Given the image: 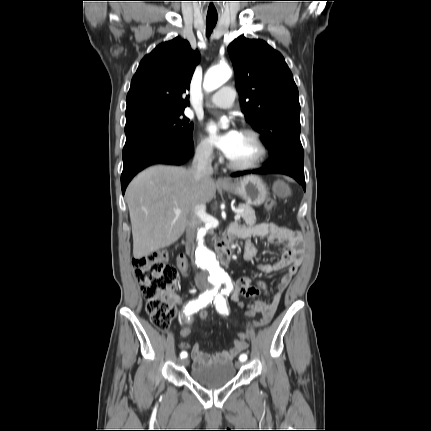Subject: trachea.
<instances>
[{"label": "trachea", "instance_id": "3493384b", "mask_svg": "<svg viewBox=\"0 0 431 431\" xmlns=\"http://www.w3.org/2000/svg\"><path fill=\"white\" fill-rule=\"evenodd\" d=\"M217 23V17H207L206 18V32L209 37Z\"/></svg>", "mask_w": 431, "mask_h": 431}]
</instances>
